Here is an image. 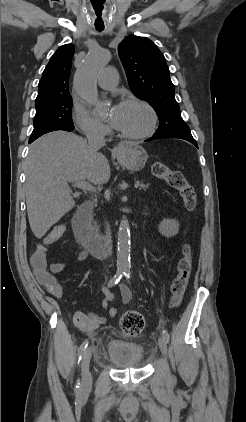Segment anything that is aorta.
Returning <instances> with one entry per match:
<instances>
[{"label": "aorta", "mask_w": 246, "mask_h": 422, "mask_svg": "<svg viewBox=\"0 0 246 422\" xmlns=\"http://www.w3.org/2000/svg\"><path fill=\"white\" fill-rule=\"evenodd\" d=\"M109 58L110 53L106 49L95 48L90 50L74 76V88L78 95L87 103L95 105L99 112H101V108L98 106L96 81L99 72L107 64ZM130 239L129 221L123 219L118 229L117 246V264L121 269L130 267Z\"/></svg>", "instance_id": "1"}]
</instances>
